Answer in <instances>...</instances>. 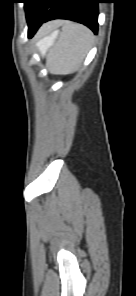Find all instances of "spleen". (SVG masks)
Segmentation results:
<instances>
[{"label": "spleen", "instance_id": "1", "mask_svg": "<svg viewBox=\"0 0 136 296\" xmlns=\"http://www.w3.org/2000/svg\"><path fill=\"white\" fill-rule=\"evenodd\" d=\"M57 36L58 31H54L37 43L42 54L54 43ZM92 42L93 35L88 28L77 23H69L62 31L51 54L49 63L51 72L69 74L76 71L90 50Z\"/></svg>", "mask_w": 136, "mask_h": 296}]
</instances>
